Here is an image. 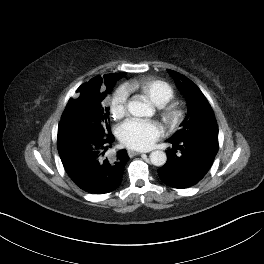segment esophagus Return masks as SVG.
<instances>
[{
	"label": "esophagus",
	"instance_id": "1",
	"mask_svg": "<svg viewBox=\"0 0 264 264\" xmlns=\"http://www.w3.org/2000/svg\"><path fill=\"white\" fill-rule=\"evenodd\" d=\"M141 153H142L141 151L128 150L129 157H133V156L139 155Z\"/></svg>",
	"mask_w": 264,
	"mask_h": 264
}]
</instances>
